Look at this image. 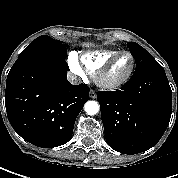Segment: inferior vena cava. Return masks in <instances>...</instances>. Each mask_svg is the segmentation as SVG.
<instances>
[{"label": "inferior vena cava", "mask_w": 178, "mask_h": 178, "mask_svg": "<svg viewBox=\"0 0 178 178\" xmlns=\"http://www.w3.org/2000/svg\"><path fill=\"white\" fill-rule=\"evenodd\" d=\"M68 80L70 83L74 84V85H78L81 83V80L74 74L72 73H68Z\"/></svg>", "instance_id": "1"}]
</instances>
